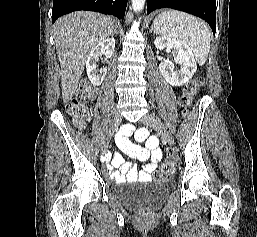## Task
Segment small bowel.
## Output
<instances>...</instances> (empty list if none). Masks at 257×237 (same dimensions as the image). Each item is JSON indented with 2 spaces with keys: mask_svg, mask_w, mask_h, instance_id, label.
Masks as SVG:
<instances>
[{
  "mask_svg": "<svg viewBox=\"0 0 257 237\" xmlns=\"http://www.w3.org/2000/svg\"><path fill=\"white\" fill-rule=\"evenodd\" d=\"M131 128L124 127L121 134L116 137L117 144L122 148L127 155L137 158L148 163L141 168L126 162L123 154L115 152L113 155H108L110 165L109 176L117 183H123L128 180H139L148 182L151 180V174L156 170L159 162L162 159V151L158 147V139L154 136H149L146 130H138L134 135L136 143L129 139ZM145 142V146L141 147L137 143Z\"/></svg>",
  "mask_w": 257,
  "mask_h": 237,
  "instance_id": "1",
  "label": "small bowel"
}]
</instances>
